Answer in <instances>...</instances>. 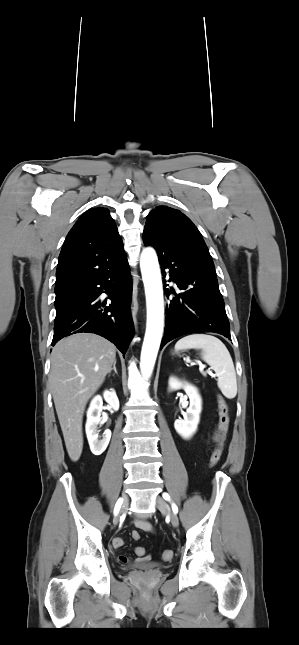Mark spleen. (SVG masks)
I'll use <instances>...</instances> for the list:
<instances>
[{
  "label": "spleen",
  "instance_id": "obj_1",
  "mask_svg": "<svg viewBox=\"0 0 299 645\" xmlns=\"http://www.w3.org/2000/svg\"><path fill=\"white\" fill-rule=\"evenodd\" d=\"M200 349L202 359L215 371L222 394L232 399L237 394L236 372L226 346L216 337L191 334L177 341L175 350Z\"/></svg>",
  "mask_w": 299,
  "mask_h": 645
}]
</instances>
